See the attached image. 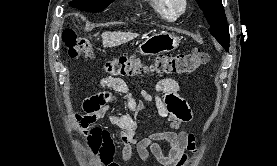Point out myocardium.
Returning <instances> with one entry per match:
<instances>
[{
    "instance_id": "obj_1",
    "label": "myocardium",
    "mask_w": 277,
    "mask_h": 166,
    "mask_svg": "<svg viewBox=\"0 0 277 166\" xmlns=\"http://www.w3.org/2000/svg\"><path fill=\"white\" fill-rule=\"evenodd\" d=\"M171 10L176 14H183L188 7V0H168Z\"/></svg>"
}]
</instances>
